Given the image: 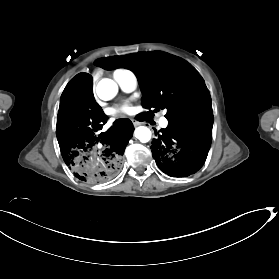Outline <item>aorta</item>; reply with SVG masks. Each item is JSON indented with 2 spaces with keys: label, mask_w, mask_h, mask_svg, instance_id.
<instances>
[{
  "label": "aorta",
  "mask_w": 279,
  "mask_h": 279,
  "mask_svg": "<svg viewBox=\"0 0 279 279\" xmlns=\"http://www.w3.org/2000/svg\"><path fill=\"white\" fill-rule=\"evenodd\" d=\"M96 92L100 99L108 101L116 96L118 92V85L115 81L104 78L99 81ZM134 135L142 143H147L151 139V131L145 126L137 127L134 131Z\"/></svg>",
  "instance_id": "1"
}]
</instances>
